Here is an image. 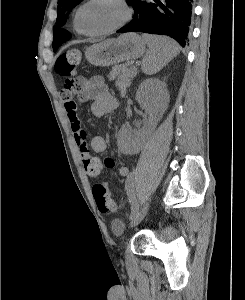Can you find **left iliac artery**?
<instances>
[{
	"label": "left iliac artery",
	"instance_id": "left-iliac-artery-1",
	"mask_svg": "<svg viewBox=\"0 0 245 300\" xmlns=\"http://www.w3.org/2000/svg\"><path fill=\"white\" fill-rule=\"evenodd\" d=\"M136 179V175L131 173L127 179L126 183V194L127 198L129 199L130 203L132 204L131 207V215L130 218L132 219L138 212H139V204L137 202V198L133 193V184Z\"/></svg>",
	"mask_w": 245,
	"mask_h": 300
}]
</instances>
